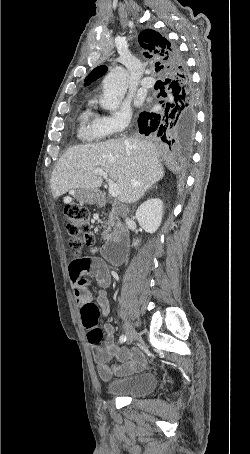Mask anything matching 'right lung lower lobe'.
<instances>
[{
    "label": "right lung lower lobe",
    "mask_w": 250,
    "mask_h": 454,
    "mask_svg": "<svg viewBox=\"0 0 250 454\" xmlns=\"http://www.w3.org/2000/svg\"><path fill=\"white\" fill-rule=\"evenodd\" d=\"M169 53L173 69L164 76L168 88L159 101L161 108L139 115V132L157 136L169 147H188L193 142L196 126L195 95L186 62L171 42Z\"/></svg>",
    "instance_id": "obj_1"
}]
</instances>
